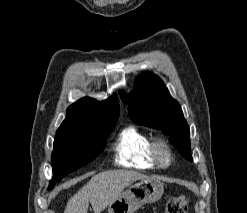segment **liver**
<instances>
[{"label":"liver","mask_w":247,"mask_h":213,"mask_svg":"<svg viewBox=\"0 0 247 213\" xmlns=\"http://www.w3.org/2000/svg\"><path fill=\"white\" fill-rule=\"evenodd\" d=\"M146 175L128 170H110L94 175L66 205L64 213H87L91 203L94 213H101L123 189Z\"/></svg>","instance_id":"6515ba94"}]
</instances>
